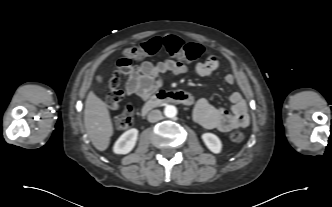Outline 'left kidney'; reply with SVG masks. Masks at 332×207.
I'll list each match as a JSON object with an SVG mask.
<instances>
[{"label":"left kidney","instance_id":"obj_1","mask_svg":"<svg viewBox=\"0 0 332 207\" xmlns=\"http://www.w3.org/2000/svg\"><path fill=\"white\" fill-rule=\"evenodd\" d=\"M202 140L211 152H213L215 154H219L221 152L222 143L215 134L204 133L202 135Z\"/></svg>","mask_w":332,"mask_h":207}]
</instances>
